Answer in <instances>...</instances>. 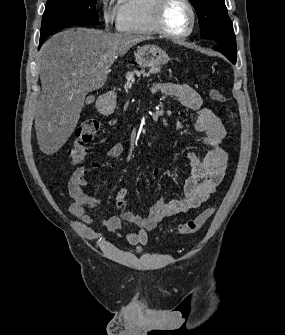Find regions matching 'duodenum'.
Here are the masks:
<instances>
[{
  "mask_svg": "<svg viewBox=\"0 0 285 335\" xmlns=\"http://www.w3.org/2000/svg\"><path fill=\"white\" fill-rule=\"evenodd\" d=\"M110 105V99L104 100L101 102V108L102 109H107Z\"/></svg>",
  "mask_w": 285,
  "mask_h": 335,
  "instance_id": "1",
  "label": "duodenum"
}]
</instances>
